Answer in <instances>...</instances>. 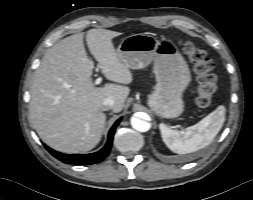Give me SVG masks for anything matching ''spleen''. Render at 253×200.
I'll use <instances>...</instances> for the list:
<instances>
[{
    "instance_id": "obj_1",
    "label": "spleen",
    "mask_w": 253,
    "mask_h": 200,
    "mask_svg": "<svg viewBox=\"0 0 253 200\" xmlns=\"http://www.w3.org/2000/svg\"><path fill=\"white\" fill-rule=\"evenodd\" d=\"M226 109L223 105L204 117L197 124L183 131L173 130L165 124L159 125L163 142L178 154L192 153L208 146L225 122Z\"/></svg>"
}]
</instances>
